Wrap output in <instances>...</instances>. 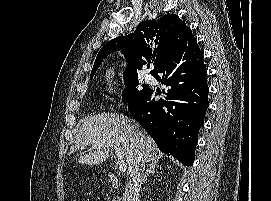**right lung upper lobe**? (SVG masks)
<instances>
[{
  "mask_svg": "<svg viewBox=\"0 0 271 201\" xmlns=\"http://www.w3.org/2000/svg\"><path fill=\"white\" fill-rule=\"evenodd\" d=\"M191 37L194 38L190 28L177 15L168 14L160 20L144 21L134 33L116 37L102 47L91 75L95 74L105 57L118 50H122L128 63L124 74L137 75L144 65L152 61L154 69L150 73L154 75L180 49L184 40Z\"/></svg>",
  "mask_w": 271,
  "mask_h": 201,
  "instance_id": "obj_1",
  "label": "right lung upper lobe"
}]
</instances>
